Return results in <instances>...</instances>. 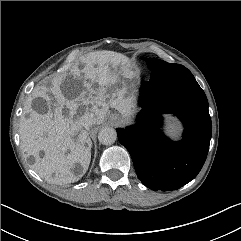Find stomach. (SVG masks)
Instances as JSON below:
<instances>
[{
	"label": "stomach",
	"mask_w": 241,
	"mask_h": 241,
	"mask_svg": "<svg viewBox=\"0 0 241 241\" xmlns=\"http://www.w3.org/2000/svg\"><path fill=\"white\" fill-rule=\"evenodd\" d=\"M119 68V67H118ZM123 88H126L124 85L123 80L119 77L117 82L114 83L111 87V89L108 91V93L112 96L114 93H116L119 90H122Z\"/></svg>",
	"instance_id": "1"
}]
</instances>
